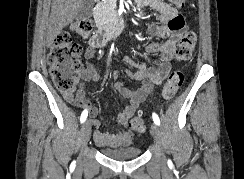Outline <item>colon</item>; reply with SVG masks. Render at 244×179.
<instances>
[{"mask_svg":"<svg viewBox=\"0 0 244 179\" xmlns=\"http://www.w3.org/2000/svg\"><path fill=\"white\" fill-rule=\"evenodd\" d=\"M170 3H183V0H169ZM94 24L89 19L79 20L69 26V31L61 32L55 39L48 54L50 65V75L56 88L63 93H72L77 86L78 72L82 68L81 47L71 40V34L87 36L91 34ZM197 44V35L190 31L187 32L176 46L175 54L178 60H188L192 57ZM183 73L173 71L161 94L164 102L174 98L178 89L183 83ZM130 126L134 131L144 132L145 123L141 116L133 117Z\"/></svg>","mask_w":244,"mask_h":179,"instance_id":"5ec220e1","label":"colon"}]
</instances>
